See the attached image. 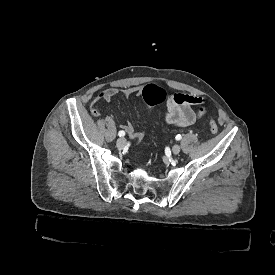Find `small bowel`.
<instances>
[{
  "label": "small bowel",
  "mask_w": 275,
  "mask_h": 275,
  "mask_svg": "<svg viewBox=\"0 0 275 275\" xmlns=\"http://www.w3.org/2000/svg\"><path fill=\"white\" fill-rule=\"evenodd\" d=\"M142 93L141 86H132L123 90L109 88L102 91L90 103V112L93 117L100 115V104L104 101L109 102L117 96L129 98L131 96H140ZM197 106V111L193 107ZM167 114L165 121L168 125L174 127H188L195 124L205 113V101L197 96L184 93H175L166 100ZM128 135L132 136L135 129L130 122L121 125Z\"/></svg>",
  "instance_id": "c3829d8e"
}]
</instances>
